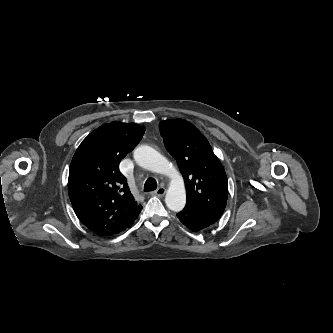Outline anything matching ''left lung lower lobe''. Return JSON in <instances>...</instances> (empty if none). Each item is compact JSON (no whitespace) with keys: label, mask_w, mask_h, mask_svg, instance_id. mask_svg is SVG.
<instances>
[{"label":"left lung lower lobe","mask_w":333,"mask_h":333,"mask_svg":"<svg viewBox=\"0 0 333 333\" xmlns=\"http://www.w3.org/2000/svg\"><path fill=\"white\" fill-rule=\"evenodd\" d=\"M179 220L190 230L196 232L215 223L221 215L206 213L188 206L177 214Z\"/></svg>","instance_id":"1"}]
</instances>
